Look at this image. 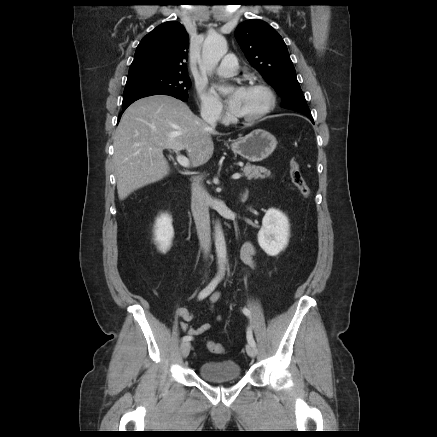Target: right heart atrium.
I'll return each instance as SVG.
<instances>
[{
  "instance_id": "d8ad5b80",
  "label": "right heart atrium",
  "mask_w": 437,
  "mask_h": 437,
  "mask_svg": "<svg viewBox=\"0 0 437 437\" xmlns=\"http://www.w3.org/2000/svg\"><path fill=\"white\" fill-rule=\"evenodd\" d=\"M201 115L206 119L219 120L224 114L222 103L210 92L203 88L197 90Z\"/></svg>"
}]
</instances>
